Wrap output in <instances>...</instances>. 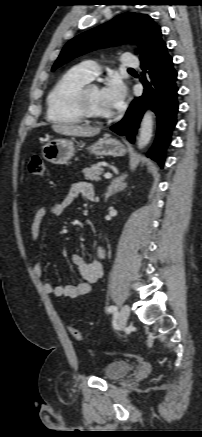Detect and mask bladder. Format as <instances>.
<instances>
[{"mask_svg": "<svg viewBox=\"0 0 202 437\" xmlns=\"http://www.w3.org/2000/svg\"><path fill=\"white\" fill-rule=\"evenodd\" d=\"M132 369V364L126 360H114L103 369V376L108 380H118L125 377Z\"/></svg>", "mask_w": 202, "mask_h": 437, "instance_id": "1", "label": "bladder"}]
</instances>
